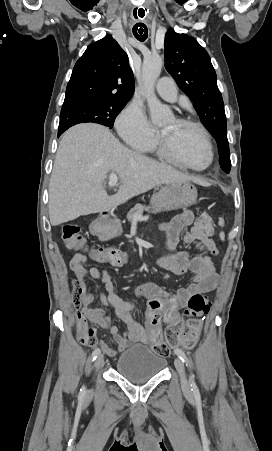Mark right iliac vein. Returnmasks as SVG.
Returning <instances> with one entry per match:
<instances>
[{"label":"right iliac vein","mask_w":272,"mask_h":451,"mask_svg":"<svg viewBox=\"0 0 272 451\" xmlns=\"http://www.w3.org/2000/svg\"><path fill=\"white\" fill-rule=\"evenodd\" d=\"M104 365L103 356H98L95 361V369L98 371Z\"/></svg>","instance_id":"right-iliac-vein-1"}]
</instances>
